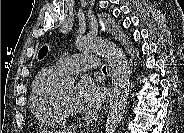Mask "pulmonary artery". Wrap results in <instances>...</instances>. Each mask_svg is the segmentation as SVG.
Instances as JSON below:
<instances>
[{
  "label": "pulmonary artery",
  "instance_id": "1",
  "mask_svg": "<svg viewBox=\"0 0 184 133\" xmlns=\"http://www.w3.org/2000/svg\"><path fill=\"white\" fill-rule=\"evenodd\" d=\"M55 67L62 74H77L86 69H100L98 58L90 54H74L57 61Z\"/></svg>",
  "mask_w": 184,
  "mask_h": 133
}]
</instances>
